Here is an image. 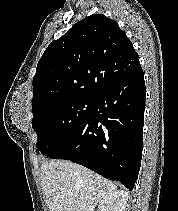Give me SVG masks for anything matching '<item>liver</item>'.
Listing matches in <instances>:
<instances>
[{
	"instance_id": "1",
	"label": "liver",
	"mask_w": 178,
	"mask_h": 211,
	"mask_svg": "<svg viewBox=\"0 0 178 211\" xmlns=\"http://www.w3.org/2000/svg\"><path fill=\"white\" fill-rule=\"evenodd\" d=\"M40 170L49 211H94L98 202L117 191L111 181L70 161H45Z\"/></svg>"
}]
</instances>
